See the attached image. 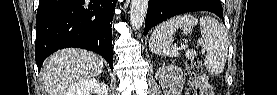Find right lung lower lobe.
<instances>
[{
    "mask_svg": "<svg viewBox=\"0 0 277 95\" xmlns=\"http://www.w3.org/2000/svg\"><path fill=\"white\" fill-rule=\"evenodd\" d=\"M116 0H40L35 60L40 70L53 52L83 48L103 56L113 69L112 20Z\"/></svg>",
    "mask_w": 277,
    "mask_h": 95,
    "instance_id": "right-lung-lower-lobe-1",
    "label": "right lung lower lobe"
}]
</instances>
